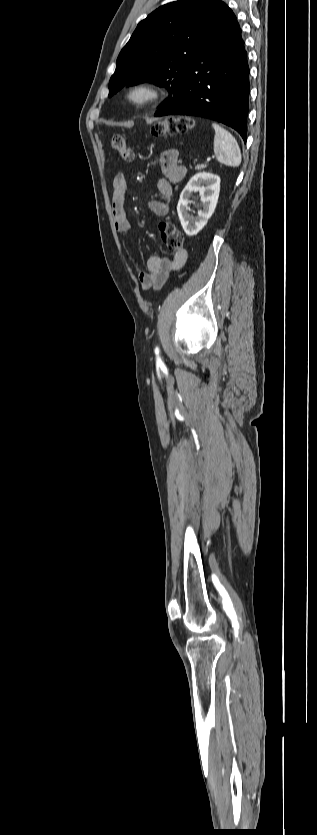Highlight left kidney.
I'll return each mask as SVG.
<instances>
[{
  "label": "left kidney",
  "mask_w": 317,
  "mask_h": 835,
  "mask_svg": "<svg viewBox=\"0 0 317 835\" xmlns=\"http://www.w3.org/2000/svg\"><path fill=\"white\" fill-rule=\"evenodd\" d=\"M193 192L200 193L202 210L198 216H190L188 206ZM220 192V177L211 173L200 172L195 174L187 183L180 194L177 205V213L185 233L189 236L196 235L207 223L215 211Z\"/></svg>",
  "instance_id": "5707ae66"
}]
</instances>
